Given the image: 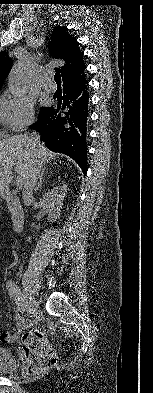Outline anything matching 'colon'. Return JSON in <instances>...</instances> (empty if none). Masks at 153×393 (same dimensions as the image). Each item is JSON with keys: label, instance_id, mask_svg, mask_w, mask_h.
<instances>
[{"label": "colon", "instance_id": "5ec220e1", "mask_svg": "<svg viewBox=\"0 0 153 393\" xmlns=\"http://www.w3.org/2000/svg\"><path fill=\"white\" fill-rule=\"evenodd\" d=\"M23 346L26 354L37 355L43 358L47 365H51L55 356L49 345L44 339V334L40 331L26 333L23 337Z\"/></svg>", "mask_w": 153, "mask_h": 393}]
</instances>
